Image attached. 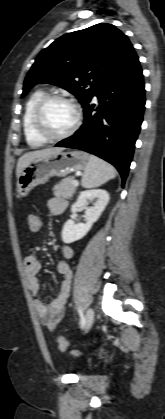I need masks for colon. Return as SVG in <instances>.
Returning a JSON list of instances; mask_svg holds the SVG:
<instances>
[{
  "label": "colon",
  "mask_w": 165,
  "mask_h": 419,
  "mask_svg": "<svg viewBox=\"0 0 165 419\" xmlns=\"http://www.w3.org/2000/svg\"><path fill=\"white\" fill-rule=\"evenodd\" d=\"M28 225H29V229L33 232H37L40 229V218L39 216L35 215V214H31L28 217ZM57 345L58 348L62 351V352H66V353H77L76 350L71 349L70 344L68 343V341L59 336L57 338Z\"/></svg>",
  "instance_id": "colon-1"
}]
</instances>
